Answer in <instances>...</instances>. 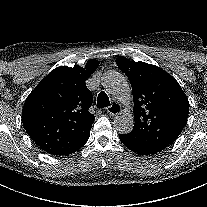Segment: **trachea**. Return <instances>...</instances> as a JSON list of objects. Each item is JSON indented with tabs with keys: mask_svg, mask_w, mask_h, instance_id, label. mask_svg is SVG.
Segmentation results:
<instances>
[{
	"mask_svg": "<svg viewBox=\"0 0 207 207\" xmlns=\"http://www.w3.org/2000/svg\"><path fill=\"white\" fill-rule=\"evenodd\" d=\"M109 105H110V101L107 94L104 91L100 92L97 99V107L102 108V107H107Z\"/></svg>",
	"mask_w": 207,
	"mask_h": 207,
	"instance_id": "obj_1",
	"label": "trachea"
}]
</instances>
